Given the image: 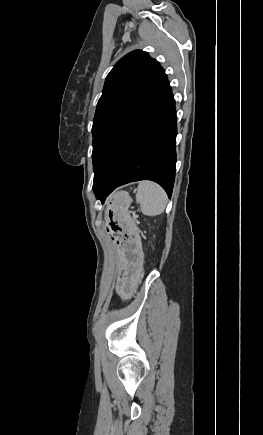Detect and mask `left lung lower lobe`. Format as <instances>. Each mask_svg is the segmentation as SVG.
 <instances>
[{"mask_svg":"<svg viewBox=\"0 0 263 435\" xmlns=\"http://www.w3.org/2000/svg\"><path fill=\"white\" fill-rule=\"evenodd\" d=\"M176 110L168 84L126 127L94 176L93 190L104 203L118 186L152 180L171 197L176 165Z\"/></svg>","mask_w":263,"mask_h":435,"instance_id":"obj_1","label":"left lung lower lobe"}]
</instances>
